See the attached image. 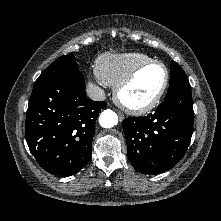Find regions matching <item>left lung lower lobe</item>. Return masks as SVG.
<instances>
[{"instance_id":"obj_1","label":"left lung lower lobe","mask_w":221,"mask_h":221,"mask_svg":"<svg viewBox=\"0 0 221 221\" xmlns=\"http://www.w3.org/2000/svg\"><path fill=\"white\" fill-rule=\"evenodd\" d=\"M190 87L166 95L155 113L123 121L130 163L140 173H161L185 154L193 133Z\"/></svg>"}]
</instances>
